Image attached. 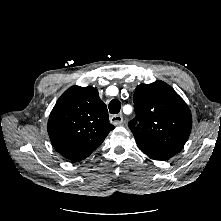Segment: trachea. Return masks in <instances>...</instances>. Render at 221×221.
<instances>
[{
  "mask_svg": "<svg viewBox=\"0 0 221 221\" xmlns=\"http://www.w3.org/2000/svg\"><path fill=\"white\" fill-rule=\"evenodd\" d=\"M121 109V103L118 99H113L109 103V112L111 114H118Z\"/></svg>",
  "mask_w": 221,
  "mask_h": 221,
  "instance_id": "trachea-1",
  "label": "trachea"
}]
</instances>
